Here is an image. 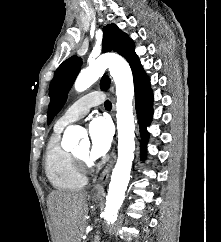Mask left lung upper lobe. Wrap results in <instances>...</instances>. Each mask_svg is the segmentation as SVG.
<instances>
[{
	"instance_id": "left-lung-upper-lobe-1",
	"label": "left lung upper lobe",
	"mask_w": 221,
	"mask_h": 242,
	"mask_svg": "<svg viewBox=\"0 0 221 242\" xmlns=\"http://www.w3.org/2000/svg\"><path fill=\"white\" fill-rule=\"evenodd\" d=\"M102 51H115L123 56L129 62L133 73L142 68L138 56L134 51L132 40L126 33L118 29L115 24L107 25L103 28ZM81 64V59L73 56L65 60L56 70L49 87L50 104L47 116L48 124L65 103L68 91L80 71ZM109 84L110 79L104 76L100 82L101 89L106 90Z\"/></svg>"
}]
</instances>
